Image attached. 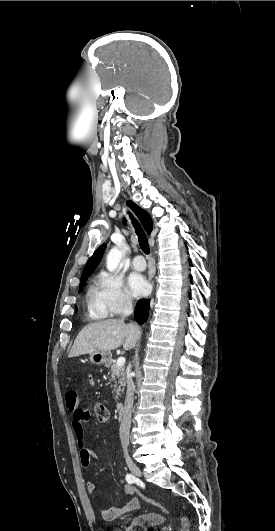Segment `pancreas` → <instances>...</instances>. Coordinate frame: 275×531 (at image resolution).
Returning a JSON list of instances; mask_svg holds the SVG:
<instances>
[{
	"label": "pancreas",
	"mask_w": 275,
	"mask_h": 531,
	"mask_svg": "<svg viewBox=\"0 0 275 531\" xmlns=\"http://www.w3.org/2000/svg\"><path fill=\"white\" fill-rule=\"evenodd\" d=\"M106 367H109L110 369V381H114V389L112 393H114V401H118L121 393V389L123 391L125 385H126V373L124 371V367H118L116 363H110V365H106Z\"/></svg>",
	"instance_id": "obj_1"
}]
</instances>
